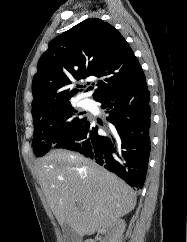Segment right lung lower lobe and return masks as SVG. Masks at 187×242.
Returning <instances> with one entry per match:
<instances>
[{"instance_id": "1", "label": "right lung lower lobe", "mask_w": 187, "mask_h": 242, "mask_svg": "<svg viewBox=\"0 0 187 242\" xmlns=\"http://www.w3.org/2000/svg\"><path fill=\"white\" fill-rule=\"evenodd\" d=\"M109 113L108 135L86 120L54 148L77 151L115 173L130 186L144 185L150 154L151 108L146 78L97 100Z\"/></svg>"}]
</instances>
